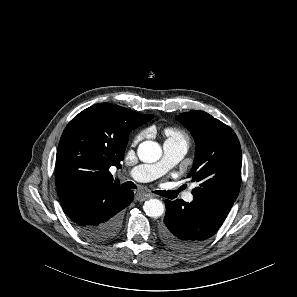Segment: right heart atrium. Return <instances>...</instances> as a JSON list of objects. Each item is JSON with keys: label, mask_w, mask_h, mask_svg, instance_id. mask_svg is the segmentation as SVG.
<instances>
[{"label": "right heart atrium", "mask_w": 297, "mask_h": 297, "mask_svg": "<svg viewBox=\"0 0 297 297\" xmlns=\"http://www.w3.org/2000/svg\"><path fill=\"white\" fill-rule=\"evenodd\" d=\"M141 137H142V134L138 135L135 140L138 141L140 140Z\"/></svg>", "instance_id": "right-heart-atrium-1"}]
</instances>
